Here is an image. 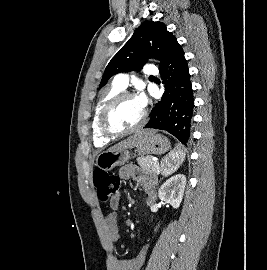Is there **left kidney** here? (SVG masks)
I'll return each instance as SVG.
<instances>
[{"instance_id":"obj_1","label":"left kidney","mask_w":267,"mask_h":270,"mask_svg":"<svg viewBox=\"0 0 267 270\" xmlns=\"http://www.w3.org/2000/svg\"><path fill=\"white\" fill-rule=\"evenodd\" d=\"M186 177L177 174L167 179L160 187L158 196L161 201L169 203L173 208H178L182 202Z\"/></svg>"}]
</instances>
